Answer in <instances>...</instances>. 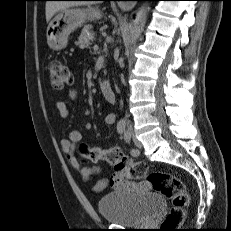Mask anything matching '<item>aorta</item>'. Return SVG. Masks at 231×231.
<instances>
[{
    "label": "aorta",
    "instance_id": "762f6f07",
    "mask_svg": "<svg viewBox=\"0 0 231 231\" xmlns=\"http://www.w3.org/2000/svg\"><path fill=\"white\" fill-rule=\"evenodd\" d=\"M149 6L148 4H143L138 10L132 26L130 28L129 44H134L141 36L148 16Z\"/></svg>",
    "mask_w": 231,
    "mask_h": 231
}]
</instances>
